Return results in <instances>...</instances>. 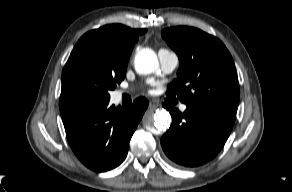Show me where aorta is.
Wrapping results in <instances>:
<instances>
[{
  "label": "aorta",
  "instance_id": "aorta-1",
  "mask_svg": "<svg viewBox=\"0 0 292 192\" xmlns=\"http://www.w3.org/2000/svg\"><path fill=\"white\" fill-rule=\"evenodd\" d=\"M135 69L140 74H149L158 69L157 55L151 49H143L135 56ZM171 116L164 109L157 110L152 117H145L144 126L148 130L164 131L169 128Z\"/></svg>",
  "mask_w": 292,
  "mask_h": 192
}]
</instances>
